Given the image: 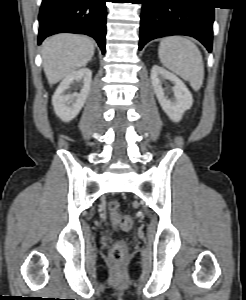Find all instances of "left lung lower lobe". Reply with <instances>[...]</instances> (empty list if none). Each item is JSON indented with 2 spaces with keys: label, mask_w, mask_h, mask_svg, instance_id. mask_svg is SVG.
Here are the masks:
<instances>
[{
  "label": "left lung lower lobe",
  "mask_w": 246,
  "mask_h": 300,
  "mask_svg": "<svg viewBox=\"0 0 246 300\" xmlns=\"http://www.w3.org/2000/svg\"><path fill=\"white\" fill-rule=\"evenodd\" d=\"M139 50L150 40L186 35L212 49L214 7L210 0H140Z\"/></svg>",
  "instance_id": "0a47b994"
}]
</instances>
